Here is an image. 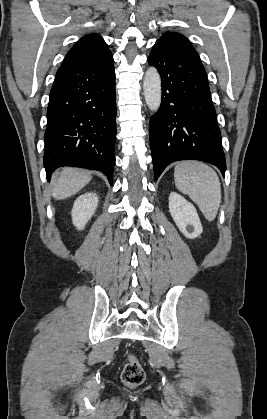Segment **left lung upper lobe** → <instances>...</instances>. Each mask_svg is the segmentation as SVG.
<instances>
[{"instance_id":"5c2ea615","label":"left lung upper lobe","mask_w":267,"mask_h":419,"mask_svg":"<svg viewBox=\"0 0 267 419\" xmlns=\"http://www.w3.org/2000/svg\"><path fill=\"white\" fill-rule=\"evenodd\" d=\"M156 43H162V44H167L170 46L186 49L199 57L196 50L192 47L191 42L185 36L179 33L166 32L162 35L160 39L157 40Z\"/></svg>"}]
</instances>
